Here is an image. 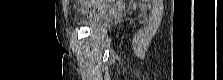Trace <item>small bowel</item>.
<instances>
[{
	"instance_id": "obj_1",
	"label": "small bowel",
	"mask_w": 223,
	"mask_h": 80,
	"mask_svg": "<svg viewBox=\"0 0 223 80\" xmlns=\"http://www.w3.org/2000/svg\"><path fill=\"white\" fill-rule=\"evenodd\" d=\"M109 7L108 6H105L103 4H93L91 6H89L86 10V14L88 16H93V15H97V14H100V13H103L105 12L106 10H108Z\"/></svg>"
}]
</instances>
